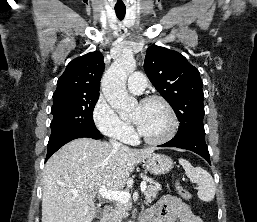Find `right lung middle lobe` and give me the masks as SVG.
<instances>
[{
	"label": "right lung middle lobe",
	"mask_w": 257,
	"mask_h": 222,
	"mask_svg": "<svg viewBox=\"0 0 257 222\" xmlns=\"http://www.w3.org/2000/svg\"><path fill=\"white\" fill-rule=\"evenodd\" d=\"M98 98L99 96H91L53 102L49 140L74 132L99 134L93 121V110Z\"/></svg>",
	"instance_id": "right-lung-middle-lobe-1"
}]
</instances>
